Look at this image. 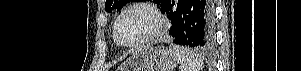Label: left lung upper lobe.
<instances>
[{"instance_id":"obj_1","label":"left lung upper lobe","mask_w":301,"mask_h":71,"mask_svg":"<svg viewBox=\"0 0 301 71\" xmlns=\"http://www.w3.org/2000/svg\"><path fill=\"white\" fill-rule=\"evenodd\" d=\"M130 0H106L105 10L111 12L113 9L119 11ZM158 5L163 8L168 0H154Z\"/></svg>"}]
</instances>
